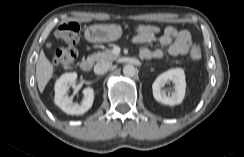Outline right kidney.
<instances>
[{
    "label": "right kidney",
    "mask_w": 244,
    "mask_h": 157,
    "mask_svg": "<svg viewBox=\"0 0 244 157\" xmlns=\"http://www.w3.org/2000/svg\"><path fill=\"white\" fill-rule=\"evenodd\" d=\"M77 73H65L55 83V104L69 115H83L93 105L94 90L87 87L83 90L84 98L81 104L73 103L72 97H68V85L75 86Z\"/></svg>",
    "instance_id": "obj_1"
}]
</instances>
